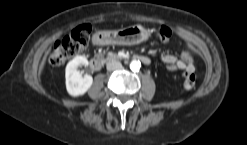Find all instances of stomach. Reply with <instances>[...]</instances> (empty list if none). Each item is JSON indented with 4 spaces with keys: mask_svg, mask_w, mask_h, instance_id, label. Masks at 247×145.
<instances>
[{
    "mask_svg": "<svg viewBox=\"0 0 247 145\" xmlns=\"http://www.w3.org/2000/svg\"><path fill=\"white\" fill-rule=\"evenodd\" d=\"M103 44L135 45L146 41L150 31L141 25H132L118 30L101 31Z\"/></svg>",
    "mask_w": 247,
    "mask_h": 145,
    "instance_id": "0dacf381",
    "label": "stomach"
}]
</instances>
